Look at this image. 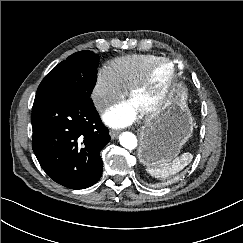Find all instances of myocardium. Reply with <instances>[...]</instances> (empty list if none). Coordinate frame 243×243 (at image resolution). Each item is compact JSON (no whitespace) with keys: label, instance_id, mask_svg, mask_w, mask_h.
<instances>
[{"label":"myocardium","instance_id":"obj_1","mask_svg":"<svg viewBox=\"0 0 243 243\" xmlns=\"http://www.w3.org/2000/svg\"><path fill=\"white\" fill-rule=\"evenodd\" d=\"M161 64H167L171 67V76L167 86L165 87L164 91L162 92L158 100L150 106L140 110L141 113L148 118L155 117L159 113H161L165 109L172 97L178 80V72L175 63L169 58L159 57L148 66V68L145 70V72L139 79H137L128 87L126 93L127 98L131 100L135 93L143 89L149 83L154 70Z\"/></svg>","mask_w":243,"mask_h":243}]
</instances>
